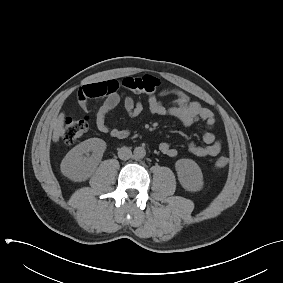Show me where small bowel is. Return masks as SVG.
<instances>
[{
    "label": "small bowel",
    "mask_w": 283,
    "mask_h": 283,
    "mask_svg": "<svg viewBox=\"0 0 283 283\" xmlns=\"http://www.w3.org/2000/svg\"><path fill=\"white\" fill-rule=\"evenodd\" d=\"M119 88V81L117 80L87 84L79 89L78 103L83 110L88 111V100L90 98H104L103 103L95 112L97 129L113 138L125 139L130 135L129 129L111 128L106 121L108 113L115 109L121 101L118 94ZM168 95H173L175 99L169 106H166L161 98ZM123 106L127 115L131 118L139 117L144 112V104L131 96L124 98ZM148 111L151 115L174 117L184 125L203 121L206 126V131L202 137L204 144L190 142L187 147L188 151L196 157H214L220 153L222 142L217 139L212 131L216 123L213 111L192 100L184 91L176 88H166L159 95L150 96ZM159 150L168 157H175L178 154L177 149L168 142H161Z\"/></svg>",
    "instance_id": "obj_1"
}]
</instances>
